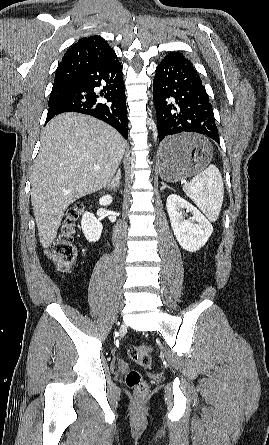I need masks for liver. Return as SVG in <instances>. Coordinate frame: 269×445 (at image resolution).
<instances>
[{
	"mask_svg": "<svg viewBox=\"0 0 269 445\" xmlns=\"http://www.w3.org/2000/svg\"><path fill=\"white\" fill-rule=\"evenodd\" d=\"M125 148L117 130L91 116L64 113L46 125L31 179V201L44 248L56 238L69 205L111 181Z\"/></svg>",
	"mask_w": 269,
	"mask_h": 445,
	"instance_id": "liver-1",
	"label": "liver"
}]
</instances>
